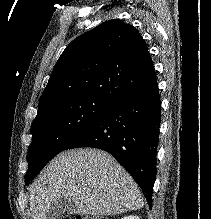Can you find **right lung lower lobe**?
Listing matches in <instances>:
<instances>
[{"label":"right lung lower lobe","instance_id":"1","mask_svg":"<svg viewBox=\"0 0 211 219\" xmlns=\"http://www.w3.org/2000/svg\"><path fill=\"white\" fill-rule=\"evenodd\" d=\"M156 77L117 100L65 150L92 147L109 152L134 178L152 208L161 102Z\"/></svg>","mask_w":211,"mask_h":219}]
</instances>
